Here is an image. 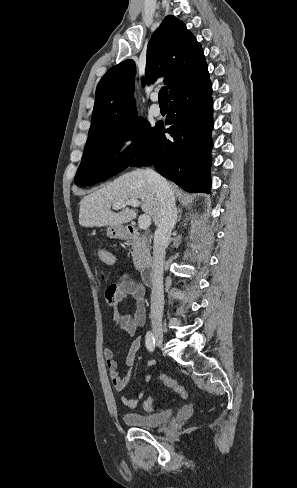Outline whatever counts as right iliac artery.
Returning <instances> with one entry per match:
<instances>
[{"mask_svg":"<svg viewBox=\"0 0 297 488\" xmlns=\"http://www.w3.org/2000/svg\"><path fill=\"white\" fill-rule=\"evenodd\" d=\"M145 344H146L147 349L150 352L154 351V349H155V338H154V335L152 334L151 331H148L146 336H145Z\"/></svg>","mask_w":297,"mask_h":488,"instance_id":"obj_1","label":"right iliac artery"}]
</instances>
